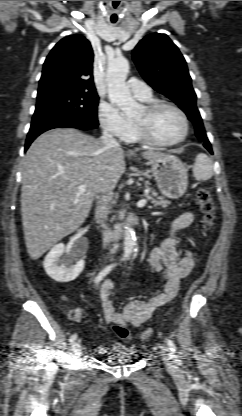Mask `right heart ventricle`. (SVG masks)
<instances>
[{
	"label": "right heart ventricle",
	"instance_id": "right-heart-ventricle-1",
	"mask_svg": "<svg viewBox=\"0 0 242 416\" xmlns=\"http://www.w3.org/2000/svg\"><path fill=\"white\" fill-rule=\"evenodd\" d=\"M141 100L142 101H145V102H149V101L152 100V97L149 96L147 98H142ZM128 140H131V141H138L139 140L138 137H137V135H136V132H135V129L134 128H133V132H132V134H131V136H130V138Z\"/></svg>",
	"mask_w": 242,
	"mask_h": 416
}]
</instances>
